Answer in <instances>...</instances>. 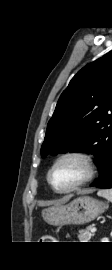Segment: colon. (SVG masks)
<instances>
[{"label": "colon", "mask_w": 112, "mask_h": 270, "mask_svg": "<svg viewBox=\"0 0 112 270\" xmlns=\"http://www.w3.org/2000/svg\"><path fill=\"white\" fill-rule=\"evenodd\" d=\"M51 238V236H45L44 237V239H50Z\"/></svg>", "instance_id": "obj_1"}]
</instances>
